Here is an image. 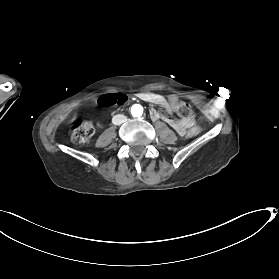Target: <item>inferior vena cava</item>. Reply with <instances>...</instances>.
<instances>
[{
	"label": "inferior vena cava",
	"instance_id": "obj_1",
	"mask_svg": "<svg viewBox=\"0 0 279 279\" xmlns=\"http://www.w3.org/2000/svg\"><path fill=\"white\" fill-rule=\"evenodd\" d=\"M113 118L114 119H112V123L115 125H120V124L124 123L123 121L128 120L127 117L124 115H116Z\"/></svg>",
	"mask_w": 279,
	"mask_h": 279
}]
</instances>
